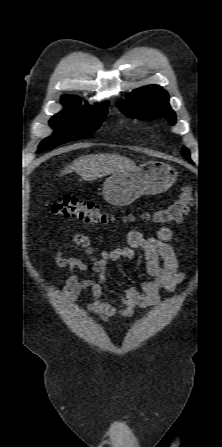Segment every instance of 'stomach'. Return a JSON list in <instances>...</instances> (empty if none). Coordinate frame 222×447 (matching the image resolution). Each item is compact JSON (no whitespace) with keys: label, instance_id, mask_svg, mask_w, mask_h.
<instances>
[{"label":"stomach","instance_id":"1","mask_svg":"<svg viewBox=\"0 0 222 447\" xmlns=\"http://www.w3.org/2000/svg\"><path fill=\"white\" fill-rule=\"evenodd\" d=\"M177 176L169 164L149 161L132 170H120L109 176L103 184V196L112 205L127 206L140 196L167 191Z\"/></svg>","mask_w":222,"mask_h":447}]
</instances>
